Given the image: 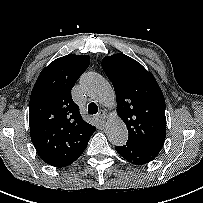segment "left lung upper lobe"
Returning <instances> with one entry per match:
<instances>
[{
	"label": "left lung upper lobe",
	"instance_id": "obj_1",
	"mask_svg": "<svg viewBox=\"0 0 203 203\" xmlns=\"http://www.w3.org/2000/svg\"><path fill=\"white\" fill-rule=\"evenodd\" d=\"M102 68L114 86L128 141L160 152L166 138L165 99L154 76L124 54L103 58Z\"/></svg>",
	"mask_w": 203,
	"mask_h": 203
}]
</instances>
